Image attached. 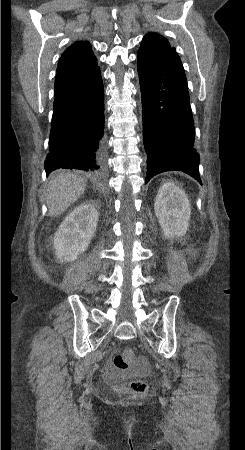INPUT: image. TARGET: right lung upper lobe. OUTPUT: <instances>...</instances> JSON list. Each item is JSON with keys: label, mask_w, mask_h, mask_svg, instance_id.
I'll return each mask as SVG.
<instances>
[{"label": "right lung upper lobe", "mask_w": 245, "mask_h": 450, "mask_svg": "<svg viewBox=\"0 0 245 450\" xmlns=\"http://www.w3.org/2000/svg\"><path fill=\"white\" fill-rule=\"evenodd\" d=\"M88 42H75L65 50L58 63L55 79V94L78 82L97 67Z\"/></svg>", "instance_id": "cb5924a9"}]
</instances>
